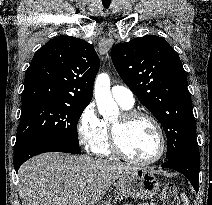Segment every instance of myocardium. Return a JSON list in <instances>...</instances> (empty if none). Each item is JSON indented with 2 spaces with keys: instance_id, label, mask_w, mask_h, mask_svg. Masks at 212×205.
Wrapping results in <instances>:
<instances>
[{
  "instance_id": "obj_1",
  "label": "myocardium",
  "mask_w": 212,
  "mask_h": 205,
  "mask_svg": "<svg viewBox=\"0 0 212 205\" xmlns=\"http://www.w3.org/2000/svg\"><path fill=\"white\" fill-rule=\"evenodd\" d=\"M136 118H145L154 126L158 136V150L157 153L147 159H135L129 156L123 149L121 144V132L126 124ZM109 143L112 152L119 158L136 165H151L159 161L165 153L166 140L163 129L159 121L150 113L140 110H124L119 115L117 121H112L109 125Z\"/></svg>"
}]
</instances>
